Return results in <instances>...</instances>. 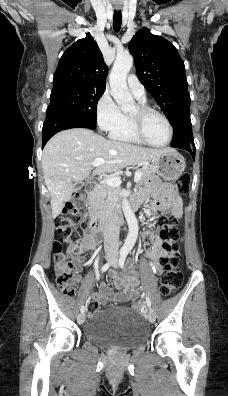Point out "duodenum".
Masks as SVG:
<instances>
[{
	"label": "duodenum",
	"mask_w": 228,
	"mask_h": 396,
	"mask_svg": "<svg viewBox=\"0 0 228 396\" xmlns=\"http://www.w3.org/2000/svg\"><path fill=\"white\" fill-rule=\"evenodd\" d=\"M93 192H94V187L89 185L86 190L87 195L91 196ZM131 206L132 208L136 209L139 207V204L132 203ZM122 222H123L122 212L120 209L116 208L114 219L112 222H110L109 219L96 217L92 221V228L97 234H101V235L108 234V235L116 236L118 225H120Z\"/></svg>",
	"instance_id": "410a0bca"
}]
</instances>
